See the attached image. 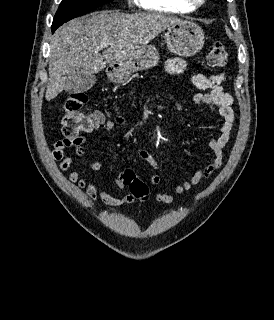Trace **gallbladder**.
Returning <instances> with one entry per match:
<instances>
[{"mask_svg": "<svg viewBox=\"0 0 274 320\" xmlns=\"http://www.w3.org/2000/svg\"><path fill=\"white\" fill-rule=\"evenodd\" d=\"M96 84L91 68H69L66 72V95H80Z\"/></svg>", "mask_w": 274, "mask_h": 320, "instance_id": "obj_1", "label": "gallbladder"}]
</instances>
